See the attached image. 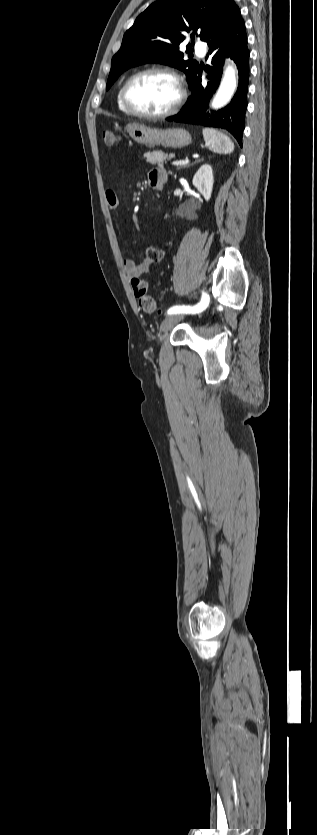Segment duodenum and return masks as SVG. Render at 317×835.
<instances>
[{"label": "duodenum", "mask_w": 317, "mask_h": 835, "mask_svg": "<svg viewBox=\"0 0 317 835\" xmlns=\"http://www.w3.org/2000/svg\"><path fill=\"white\" fill-rule=\"evenodd\" d=\"M153 186H154L155 188H158V189H159V187H158L156 184H153Z\"/></svg>", "instance_id": "1"}]
</instances>
